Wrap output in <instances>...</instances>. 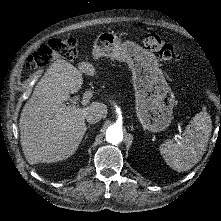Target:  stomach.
<instances>
[{
    "label": "stomach",
    "instance_id": "1",
    "mask_svg": "<svg viewBox=\"0 0 221 221\" xmlns=\"http://www.w3.org/2000/svg\"><path fill=\"white\" fill-rule=\"evenodd\" d=\"M93 56H106L129 64L136 115L145 130L155 133L170 125L175 97L151 53L133 42L122 43L114 33L102 32L95 39Z\"/></svg>",
    "mask_w": 221,
    "mask_h": 221
}]
</instances>
